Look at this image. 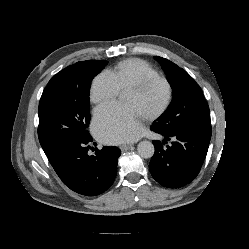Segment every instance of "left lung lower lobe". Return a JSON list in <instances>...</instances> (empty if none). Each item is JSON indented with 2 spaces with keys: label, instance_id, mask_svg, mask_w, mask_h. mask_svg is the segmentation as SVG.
Segmentation results:
<instances>
[{
  "label": "left lung lower lobe",
  "instance_id": "obj_1",
  "mask_svg": "<svg viewBox=\"0 0 249 249\" xmlns=\"http://www.w3.org/2000/svg\"><path fill=\"white\" fill-rule=\"evenodd\" d=\"M151 129L165 137L162 142L153 140L155 153L149 164L153 178L169 188H179L190 183L198 175L206 157L211 130L168 135L155 125H152ZM170 137L175 141L164 147Z\"/></svg>",
  "mask_w": 249,
  "mask_h": 249
}]
</instances>
